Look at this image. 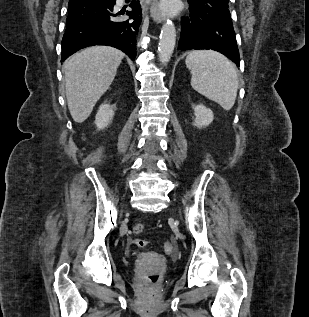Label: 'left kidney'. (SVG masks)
<instances>
[{
  "label": "left kidney",
  "mask_w": 309,
  "mask_h": 317,
  "mask_svg": "<svg viewBox=\"0 0 309 317\" xmlns=\"http://www.w3.org/2000/svg\"><path fill=\"white\" fill-rule=\"evenodd\" d=\"M194 125L198 128H203L211 124L214 119L213 112L206 108L203 104L194 107Z\"/></svg>",
  "instance_id": "5707ae66"
}]
</instances>
